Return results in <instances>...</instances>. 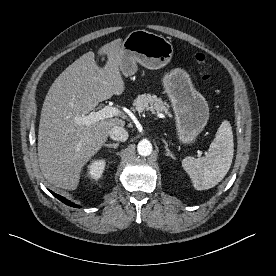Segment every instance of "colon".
<instances>
[{
  "instance_id": "colon-1",
  "label": "colon",
  "mask_w": 276,
  "mask_h": 276,
  "mask_svg": "<svg viewBox=\"0 0 276 276\" xmlns=\"http://www.w3.org/2000/svg\"><path fill=\"white\" fill-rule=\"evenodd\" d=\"M196 60L199 62V63H204L206 58L203 54H197L196 55ZM211 79V75L209 73H206L204 74L203 76V80L204 81H209Z\"/></svg>"
}]
</instances>
